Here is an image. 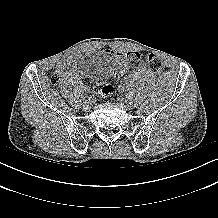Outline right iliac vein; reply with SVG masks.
Listing matches in <instances>:
<instances>
[{
    "label": "right iliac vein",
    "mask_w": 218,
    "mask_h": 218,
    "mask_svg": "<svg viewBox=\"0 0 218 218\" xmlns=\"http://www.w3.org/2000/svg\"><path fill=\"white\" fill-rule=\"evenodd\" d=\"M93 103H94L93 99L92 100H86L84 102V104H83V109L86 110V111L90 110L92 108V106H93Z\"/></svg>",
    "instance_id": "63e3f726"
}]
</instances>
